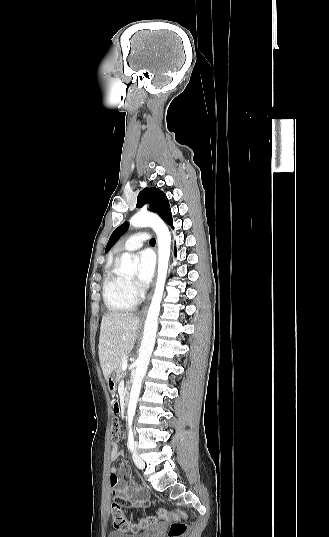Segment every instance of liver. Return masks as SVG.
<instances>
[{
	"instance_id": "6515ba94",
	"label": "liver",
	"mask_w": 329,
	"mask_h": 537,
	"mask_svg": "<svg viewBox=\"0 0 329 537\" xmlns=\"http://www.w3.org/2000/svg\"><path fill=\"white\" fill-rule=\"evenodd\" d=\"M139 319L133 313H111L101 321L99 360L105 379L133 349Z\"/></svg>"
}]
</instances>
